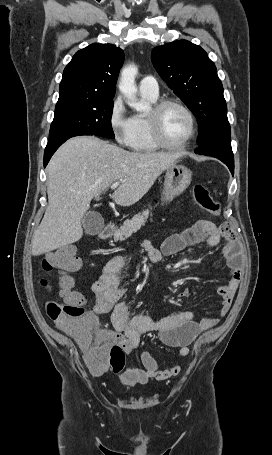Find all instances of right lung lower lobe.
I'll return each mask as SVG.
<instances>
[{"mask_svg": "<svg viewBox=\"0 0 272 455\" xmlns=\"http://www.w3.org/2000/svg\"><path fill=\"white\" fill-rule=\"evenodd\" d=\"M67 139H69V138L59 139V140H56L54 142H49L47 144L45 152H44V166L47 165V163L49 162L51 156L58 149V147L61 146Z\"/></svg>", "mask_w": 272, "mask_h": 455, "instance_id": "98d812e1", "label": "right lung lower lobe"}]
</instances>
